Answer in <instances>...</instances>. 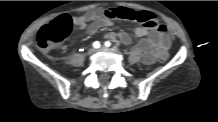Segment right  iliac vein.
<instances>
[{
	"label": "right iliac vein",
	"mask_w": 218,
	"mask_h": 122,
	"mask_svg": "<svg viewBox=\"0 0 218 122\" xmlns=\"http://www.w3.org/2000/svg\"><path fill=\"white\" fill-rule=\"evenodd\" d=\"M95 53V49L94 48H91L88 50V56H92L93 54Z\"/></svg>",
	"instance_id": "1"
}]
</instances>
